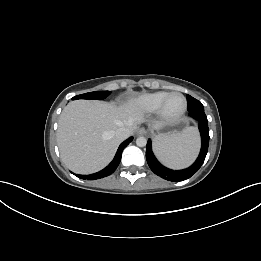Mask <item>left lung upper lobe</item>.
<instances>
[{
  "label": "left lung upper lobe",
  "mask_w": 261,
  "mask_h": 261,
  "mask_svg": "<svg viewBox=\"0 0 261 261\" xmlns=\"http://www.w3.org/2000/svg\"><path fill=\"white\" fill-rule=\"evenodd\" d=\"M187 102H188V111L192 110H203L204 111V106L200 101L197 99L193 98L190 95H187Z\"/></svg>",
  "instance_id": "5c2ea615"
}]
</instances>
